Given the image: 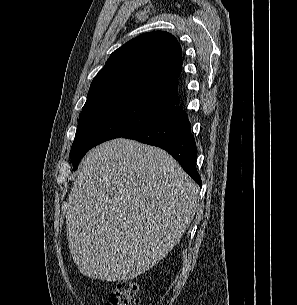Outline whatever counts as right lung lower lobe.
<instances>
[{
    "label": "right lung lower lobe",
    "instance_id": "1",
    "mask_svg": "<svg viewBox=\"0 0 297 305\" xmlns=\"http://www.w3.org/2000/svg\"><path fill=\"white\" fill-rule=\"evenodd\" d=\"M124 138L160 147L170 153L200 186L201 177L196 169V143L190 132L186 112L174 106L151 123L135 130Z\"/></svg>",
    "mask_w": 297,
    "mask_h": 305
}]
</instances>
